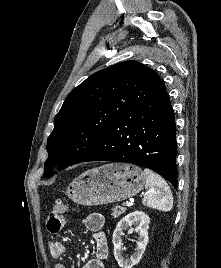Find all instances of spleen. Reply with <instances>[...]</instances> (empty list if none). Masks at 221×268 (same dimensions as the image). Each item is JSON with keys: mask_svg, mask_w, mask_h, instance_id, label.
Wrapping results in <instances>:
<instances>
[{"mask_svg": "<svg viewBox=\"0 0 221 268\" xmlns=\"http://www.w3.org/2000/svg\"><path fill=\"white\" fill-rule=\"evenodd\" d=\"M146 188L148 191L142 199L143 205L168 212L173 207V197L166 181L152 170L145 168Z\"/></svg>", "mask_w": 221, "mask_h": 268, "instance_id": "spleen-1", "label": "spleen"}]
</instances>
